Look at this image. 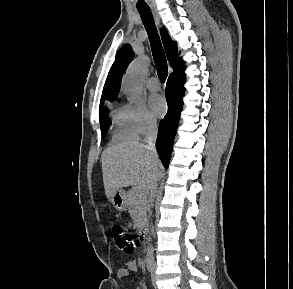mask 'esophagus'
Instances as JSON below:
<instances>
[{
  "label": "esophagus",
  "mask_w": 293,
  "mask_h": 289,
  "mask_svg": "<svg viewBox=\"0 0 293 289\" xmlns=\"http://www.w3.org/2000/svg\"><path fill=\"white\" fill-rule=\"evenodd\" d=\"M152 13H153V16H154L156 23L159 24V22H160L159 14H158V11L155 7H152Z\"/></svg>",
  "instance_id": "esophagus-1"
}]
</instances>
